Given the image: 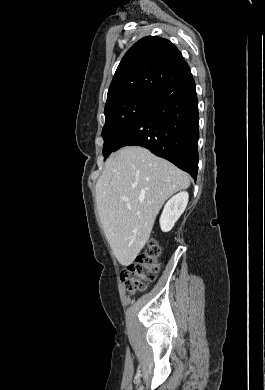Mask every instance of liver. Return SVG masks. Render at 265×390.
Here are the masks:
<instances>
[{"mask_svg": "<svg viewBox=\"0 0 265 390\" xmlns=\"http://www.w3.org/2000/svg\"><path fill=\"white\" fill-rule=\"evenodd\" d=\"M189 185L187 173L140 146H126L109 157L96 183V204L121 265L132 264L148 242L164 202Z\"/></svg>", "mask_w": 265, "mask_h": 390, "instance_id": "1", "label": "liver"}]
</instances>
